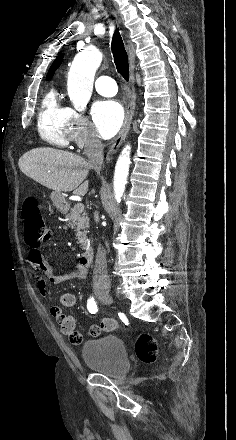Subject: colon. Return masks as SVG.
Returning a JSON list of instances; mask_svg holds the SVG:
<instances>
[{
  "mask_svg": "<svg viewBox=\"0 0 236 440\" xmlns=\"http://www.w3.org/2000/svg\"><path fill=\"white\" fill-rule=\"evenodd\" d=\"M25 241L31 247H36L50 236V229L46 224L35 198H28L25 201L22 212ZM158 345L155 339L147 334H141L135 344L137 357L145 362H153L157 355Z\"/></svg>",
  "mask_w": 236,
  "mask_h": 440,
  "instance_id": "1",
  "label": "colon"
}]
</instances>
